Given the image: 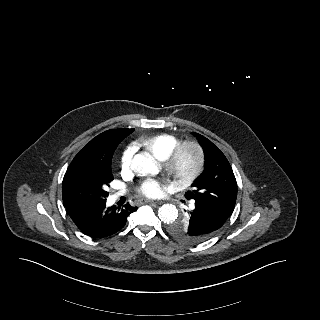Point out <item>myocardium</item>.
<instances>
[{
    "instance_id": "f54148a6",
    "label": "myocardium",
    "mask_w": 320,
    "mask_h": 320,
    "mask_svg": "<svg viewBox=\"0 0 320 320\" xmlns=\"http://www.w3.org/2000/svg\"><path fill=\"white\" fill-rule=\"evenodd\" d=\"M186 151H192L194 154V165L191 170L183 172L180 169V162ZM205 164L204 150L199 142L195 140H185L179 142L170 154L163 160V166L172 183L185 188L193 183L202 173Z\"/></svg>"
}]
</instances>
